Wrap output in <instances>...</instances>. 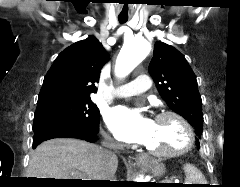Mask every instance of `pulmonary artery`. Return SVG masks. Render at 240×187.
<instances>
[{"mask_svg": "<svg viewBox=\"0 0 240 187\" xmlns=\"http://www.w3.org/2000/svg\"><path fill=\"white\" fill-rule=\"evenodd\" d=\"M150 88V78L146 74L138 75L133 81L120 86L113 92L116 98H128L145 93Z\"/></svg>", "mask_w": 240, "mask_h": 187, "instance_id": "1", "label": "pulmonary artery"}]
</instances>
